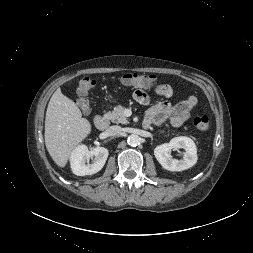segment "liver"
<instances>
[{
  "label": "liver",
  "instance_id": "6515ba94",
  "mask_svg": "<svg viewBox=\"0 0 253 253\" xmlns=\"http://www.w3.org/2000/svg\"><path fill=\"white\" fill-rule=\"evenodd\" d=\"M90 133V122L58 88L49 101L45 118V145L53 161L65 167L72 152Z\"/></svg>",
  "mask_w": 253,
  "mask_h": 253
}]
</instances>
